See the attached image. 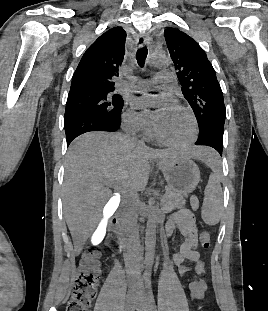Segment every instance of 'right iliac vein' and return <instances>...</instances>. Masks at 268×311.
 Here are the masks:
<instances>
[{
  "instance_id": "63e3f726",
  "label": "right iliac vein",
  "mask_w": 268,
  "mask_h": 311,
  "mask_svg": "<svg viewBox=\"0 0 268 311\" xmlns=\"http://www.w3.org/2000/svg\"><path fill=\"white\" fill-rule=\"evenodd\" d=\"M137 290L136 289H130L128 291L126 302H125V311H134V304L135 299L137 297Z\"/></svg>"
}]
</instances>
